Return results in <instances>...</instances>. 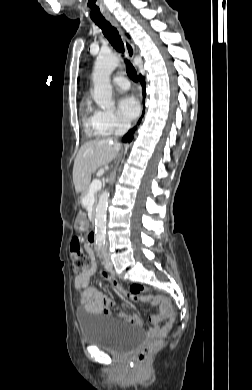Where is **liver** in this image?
<instances>
[{"instance_id":"liver-1","label":"liver","mask_w":252,"mask_h":390,"mask_svg":"<svg viewBox=\"0 0 252 390\" xmlns=\"http://www.w3.org/2000/svg\"><path fill=\"white\" fill-rule=\"evenodd\" d=\"M117 150L109 140H94L85 143L79 150L73 166V183L77 193L85 192L91 175L100 167L110 163Z\"/></svg>"}]
</instances>
